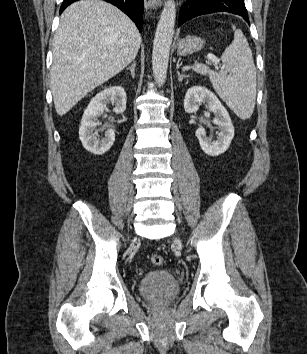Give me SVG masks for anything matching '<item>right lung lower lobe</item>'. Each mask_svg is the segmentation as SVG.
Here are the masks:
<instances>
[{
    "label": "right lung lower lobe",
    "instance_id": "right-lung-lower-lobe-1",
    "mask_svg": "<svg viewBox=\"0 0 307 354\" xmlns=\"http://www.w3.org/2000/svg\"><path fill=\"white\" fill-rule=\"evenodd\" d=\"M78 0H64L60 8L62 12L68 5ZM112 3L119 9H121L125 14H127L141 30L143 26V12L144 5L143 0H104Z\"/></svg>",
    "mask_w": 307,
    "mask_h": 354
}]
</instances>
